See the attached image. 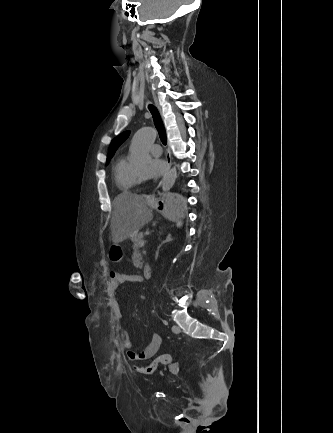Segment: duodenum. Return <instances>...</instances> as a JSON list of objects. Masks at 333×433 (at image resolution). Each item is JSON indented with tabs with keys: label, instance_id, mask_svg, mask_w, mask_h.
<instances>
[{
	"label": "duodenum",
	"instance_id": "duodenum-1",
	"mask_svg": "<svg viewBox=\"0 0 333 433\" xmlns=\"http://www.w3.org/2000/svg\"><path fill=\"white\" fill-rule=\"evenodd\" d=\"M131 242H136V237H131ZM143 276L146 279H149L152 276V267L148 263L144 264L143 266Z\"/></svg>",
	"mask_w": 333,
	"mask_h": 433
}]
</instances>
